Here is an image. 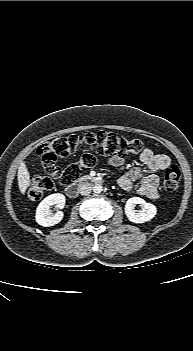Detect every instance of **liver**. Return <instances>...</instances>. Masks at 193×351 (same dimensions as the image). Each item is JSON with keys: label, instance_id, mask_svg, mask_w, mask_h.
<instances>
[{"label": "liver", "instance_id": "liver-1", "mask_svg": "<svg viewBox=\"0 0 193 351\" xmlns=\"http://www.w3.org/2000/svg\"><path fill=\"white\" fill-rule=\"evenodd\" d=\"M17 179L20 192L25 194L30 185V174L24 162L18 168Z\"/></svg>", "mask_w": 193, "mask_h": 351}]
</instances>
